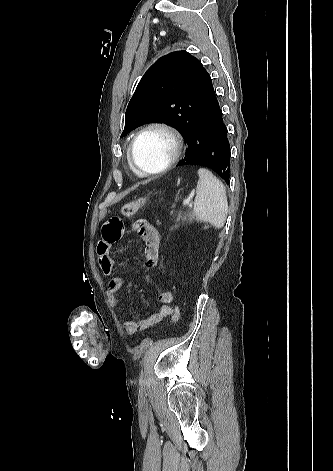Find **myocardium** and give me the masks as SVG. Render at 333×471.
I'll list each match as a JSON object with an SVG mask.
<instances>
[{
  "label": "myocardium",
  "mask_w": 333,
  "mask_h": 471,
  "mask_svg": "<svg viewBox=\"0 0 333 471\" xmlns=\"http://www.w3.org/2000/svg\"><path fill=\"white\" fill-rule=\"evenodd\" d=\"M150 130H161L167 133L170 138L172 139L173 142V152L171 157L168 159V161L159 169L157 170H146L140 167L134 157V149L137 141L139 138L146 132ZM183 138L179 131L171 126L168 123L161 122V121H154L150 122L146 125H144L141 129H139L136 134L133 136L129 148H128V161L131 167L140 175L143 176H153V175H158L161 173L166 172L168 169H170L180 158L182 150H183Z\"/></svg>",
  "instance_id": "myocardium-1"
}]
</instances>
